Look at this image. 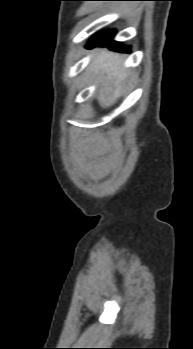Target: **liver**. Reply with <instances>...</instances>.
Returning a JSON list of instances; mask_svg holds the SVG:
<instances>
[{
	"label": "liver",
	"mask_w": 193,
	"mask_h": 349,
	"mask_svg": "<svg viewBox=\"0 0 193 349\" xmlns=\"http://www.w3.org/2000/svg\"><path fill=\"white\" fill-rule=\"evenodd\" d=\"M121 55L106 49L100 50L89 65V71L99 75L102 81L97 100L103 108L114 105L121 97V90L128 76V70H121Z\"/></svg>",
	"instance_id": "6515ba94"
}]
</instances>
